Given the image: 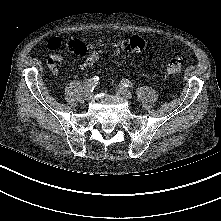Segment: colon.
<instances>
[{
    "instance_id": "obj_1",
    "label": "colon",
    "mask_w": 221,
    "mask_h": 221,
    "mask_svg": "<svg viewBox=\"0 0 221 221\" xmlns=\"http://www.w3.org/2000/svg\"><path fill=\"white\" fill-rule=\"evenodd\" d=\"M114 47L117 52L126 51L133 54L144 53L149 48L147 42L143 38L138 36H133L124 41L116 42L114 44ZM100 56L101 51L98 48H92L90 53H88V50L84 51L81 56L83 58L82 63L84 66H92L100 58ZM182 61V56L177 55L173 57L167 64L166 75L174 76L179 73L182 67Z\"/></svg>"
}]
</instances>
